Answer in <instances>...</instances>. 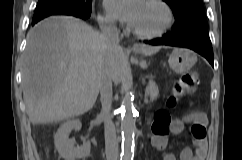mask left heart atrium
I'll list each match as a JSON object with an SVG mask.
<instances>
[{
	"mask_svg": "<svg viewBox=\"0 0 242 160\" xmlns=\"http://www.w3.org/2000/svg\"><path fill=\"white\" fill-rule=\"evenodd\" d=\"M142 0H105L107 11L122 22L133 24Z\"/></svg>",
	"mask_w": 242,
	"mask_h": 160,
	"instance_id": "left-heart-atrium-1",
	"label": "left heart atrium"
}]
</instances>
